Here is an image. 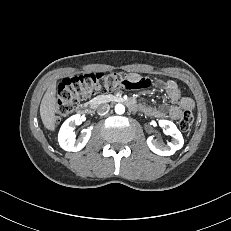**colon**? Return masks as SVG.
I'll return each instance as SVG.
<instances>
[{"mask_svg": "<svg viewBox=\"0 0 231 231\" xmlns=\"http://www.w3.org/2000/svg\"><path fill=\"white\" fill-rule=\"evenodd\" d=\"M150 84L151 81L148 78L134 81L128 74L121 72H96L65 78L57 91L56 117L60 119L70 114L79 102L94 94L107 93L116 89H143ZM193 120V114L185 111L179 120V128L182 131H188Z\"/></svg>", "mask_w": 231, "mask_h": 231, "instance_id": "5ec220e1", "label": "colon"}]
</instances>
